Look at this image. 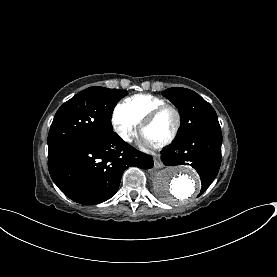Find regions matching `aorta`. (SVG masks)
Here are the masks:
<instances>
[{"label":"aorta","instance_id":"1","mask_svg":"<svg viewBox=\"0 0 277 277\" xmlns=\"http://www.w3.org/2000/svg\"><path fill=\"white\" fill-rule=\"evenodd\" d=\"M158 196L170 204L184 203L195 197L201 189L196 172L185 167H168L161 170L154 181Z\"/></svg>","mask_w":277,"mask_h":277}]
</instances>
